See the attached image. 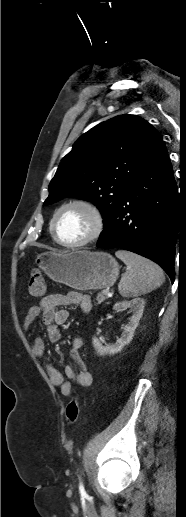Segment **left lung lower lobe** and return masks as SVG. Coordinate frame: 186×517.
I'll return each instance as SVG.
<instances>
[{"label": "left lung lower lobe", "instance_id": "obj_1", "mask_svg": "<svg viewBox=\"0 0 186 517\" xmlns=\"http://www.w3.org/2000/svg\"><path fill=\"white\" fill-rule=\"evenodd\" d=\"M178 215V188L162 143L130 183L124 199L104 225L96 246L121 248L149 258L173 282Z\"/></svg>", "mask_w": 186, "mask_h": 517}]
</instances>
